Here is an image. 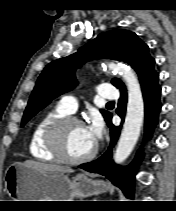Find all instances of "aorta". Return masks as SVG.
I'll return each instance as SVG.
<instances>
[{
    "label": "aorta",
    "mask_w": 176,
    "mask_h": 211,
    "mask_svg": "<svg viewBox=\"0 0 176 211\" xmlns=\"http://www.w3.org/2000/svg\"><path fill=\"white\" fill-rule=\"evenodd\" d=\"M107 67L122 76L128 91L125 122L114 154L115 163L121 164L131 154L139 138L144 119V100L139 80L130 67L120 63H111Z\"/></svg>",
    "instance_id": "1"
}]
</instances>
